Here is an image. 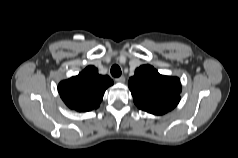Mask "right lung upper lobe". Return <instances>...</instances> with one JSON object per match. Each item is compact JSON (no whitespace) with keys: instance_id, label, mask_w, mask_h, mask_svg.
<instances>
[{"instance_id":"cb5924a9","label":"right lung upper lobe","mask_w":238,"mask_h":158,"mask_svg":"<svg viewBox=\"0 0 238 158\" xmlns=\"http://www.w3.org/2000/svg\"><path fill=\"white\" fill-rule=\"evenodd\" d=\"M111 85L113 81L109 76L99 75L94 66H88L77 76L61 81L58 91L70 109L86 112L98 108L105 90Z\"/></svg>"}]
</instances>
